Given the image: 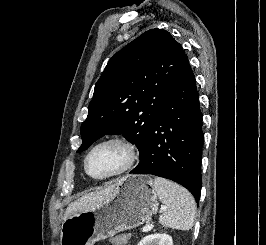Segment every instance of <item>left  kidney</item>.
<instances>
[{"label": "left kidney", "mask_w": 266, "mask_h": 245, "mask_svg": "<svg viewBox=\"0 0 266 245\" xmlns=\"http://www.w3.org/2000/svg\"><path fill=\"white\" fill-rule=\"evenodd\" d=\"M138 245H173L172 237L166 233H155V235H147Z\"/></svg>", "instance_id": "1"}]
</instances>
